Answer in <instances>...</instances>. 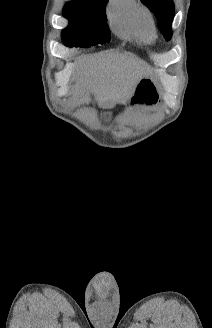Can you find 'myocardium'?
<instances>
[{
    "instance_id": "f54148a6",
    "label": "myocardium",
    "mask_w": 212,
    "mask_h": 328,
    "mask_svg": "<svg viewBox=\"0 0 212 328\" xmlns=\"http://www.w3.org/2000/svg\"><path fill=\"white\" fill-rule=\"evenodd\" d=\"M142 16L144 20L151 26V28H153V20L150 11L147 9H142Z\"/></svg>"
}]
</instances>
